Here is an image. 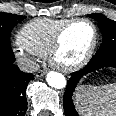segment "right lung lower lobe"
Wrapping results in <instances>:
<instances>
[{"label":"right lung lower lobe","instance_id":"98d812e1","mask_svg":"<svg viewBox=\"0 0 116 116\" xmlns=\"http://www.w3.org/2000/svg\"><path fill=\"white\" fill-rule=\"evenodd\" d=\"M14 61L13 54L0 65V116H25L27 110L26 88L34 75L21 72Z\"/></svg>","mask_w":116,"mask_h":116}]
</instances>
